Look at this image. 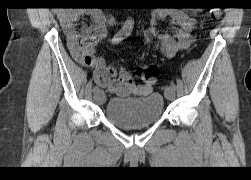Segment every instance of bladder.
Masks as SVG:
<instances>
[{
	"label": "bladder",
	"instance_id": "1",
	"mask_svg": "<svg viewBox=\"0 0 251 180\" xmlns=\"http://www.w3.org/2000/svg\"><path fill=\"white\" fill-rule=\"evenodd\" d=\"M164 99L159 93L142 98H112L107 102L105 114L114 125L135 129L153 125L162 116Z\"/></svg>",
	"mask_w": 251,
	"mask_h": 180
}]
</instances>
